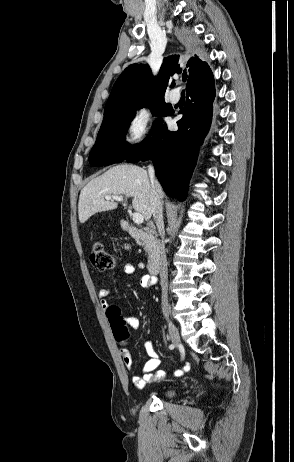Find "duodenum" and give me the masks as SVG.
I'll return each mask as SVG.
<instances>
[{"instance_id":"1","label":"duodenum","mask_w":294,"mask_h":462,"mask_svg":"<svg viewBox=\"0 0 294 462\" xmlns=\"http://www.w3.org/2000/svg\"><path fill=\"white\" fill-rule=\"evenodd\" d=\"M123 229L131 235L136 241L144 244L149 248L148 269L152 274L159 272L164 259V247L156 236L155 228L148 227L139 229L128 224L124 219L121 221Z\"/></svg>"}]
</instances>
